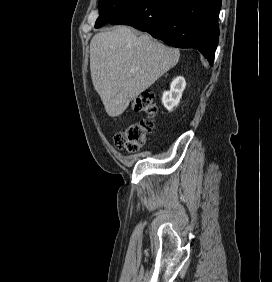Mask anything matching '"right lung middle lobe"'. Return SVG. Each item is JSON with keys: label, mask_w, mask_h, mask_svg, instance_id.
<instances>
[{"label": "right lung middle lobe", "mask_w": 272, "mask_h": 282, "mask_svg": "<svg viewBox=\"0 0 272 282\" xmlns=\"http://www.w3.org/2000/svg\"><path fill=\"white\" fill-rule=\"evenodd\" d=\"M136 0H100L99 17L95 28H99L109 23L113 18L129 7Z\"/></svg>", "instance_id": "dd1d6c3e"}]
</instances>
